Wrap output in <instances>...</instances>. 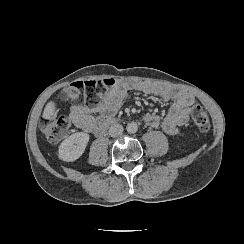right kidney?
<instances>
[{"instance_id": "ca27d5eb", "label": "right kidney", "mask_w": 244, "mask_h": 244, "mask_svg": "<svg viewBox=\"0 0 244 244\" xmlns=\"http://www.w3.org/2000/svg\"><path fill=\"white\" fill-rule=\"evenodd\" d=\"M89 140L90 136L85 132H76L70 135L60 144L58 148V158L64 162L76 161L84 154ZM74 144L76 146H73Z\"/></svg>"}]
</instances>
